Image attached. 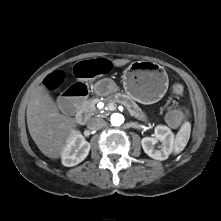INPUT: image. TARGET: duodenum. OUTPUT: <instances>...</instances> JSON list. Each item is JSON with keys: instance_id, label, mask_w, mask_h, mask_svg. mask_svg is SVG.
Returning <instances> with one entry per match:
<instances>
[{"instance_id": "1", "label": "duodenum", "mask_w": 221, "mask_h": 221, "mask_svg": "<svg viewBox=\"0 0 221 221\" xmlns=\"http://www.w3.org/2000/svg\"><path fill=\"white\" fill-rule=\"evenodd\" d=\"M88 114L84 108H81L76 114V120L80 124H84L87 121Z\"/></svg>"}]
</instances>
